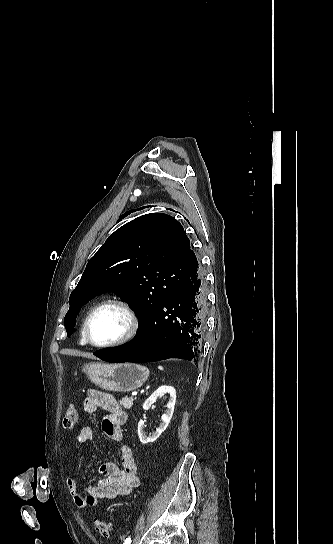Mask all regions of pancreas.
Masks as SVG:
<instances>
[{
    "instance_id": "pancreas-1",
    "label": "pancreas",
    "mask_w": 333,
    "mask_h": 544,
    "mask_svg": "<svg viewBox=\"0 0 333 544\" xmlns=\"http://www.w3.org/2000/svg\"><path fill=\"white\" fill-rule=\"evenodd\" d=\"M134 399L132 397H124L122 398L119 403L125 408V409H131L133 405Z\"/></svg>"
}]
</instances>
